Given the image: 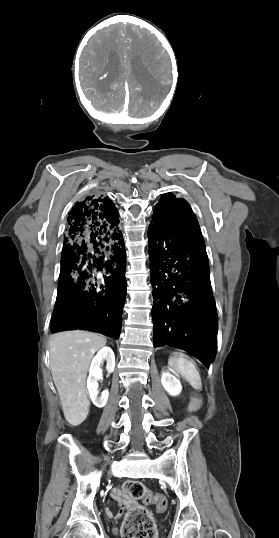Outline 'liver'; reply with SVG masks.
<instances>
[{"label":"liver","instance_id":"obj_1","mask_svg":"<svg viewBox=\"0 0 279 538\" xmlns=\"http://www.w3.org/2000/svg\"><path fill=\"white\" fill-rule=\"evenodd\" d=\"M106 338L93 332H59L50 342V370L57 388L63 414L71 426H79L88 416L86 378L97 350Z\"/></svg>","mask_w":279,"mask_h":538}]
</instances>
